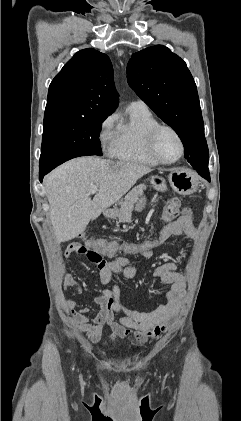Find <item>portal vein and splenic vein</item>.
Instances as JSON below:
<instances>
[{
  "label": "portal vein and splenic vein",
  "instance_id": "18ae733b",
  "mask_svg": "<svg viewBox=\"0 0 241 421\" xmlns=\"http://www.w3.org/2000/svg\"><path fill=\"white\" fill-rule=\"evenodd\" d=\"M98 191V186L94 185L90 189V194H95Z\"/></svg>",
  "mask_w": 241,
  "mask_h": 421
}]
</instances>
